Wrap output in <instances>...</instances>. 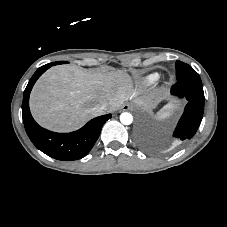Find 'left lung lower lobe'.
<instances>
[{
    "label": "left lung lower lobe",
    "instance_id": "obj_1",
    "mask_svg": "<svg viewBox=\"0 0 227 227\" xmlns=\"http://www.w3.org/2000/svg\"><path fill=\"white\" fill-rule=\"evenodd\" d=\"M171 93L188 101L173 136L180 142L191 139L196 133L203 116L204 94L202 83L177 81Z\"/></svg>",
    "mask_w": 227,
    "mask_h": 227
}]
</instances>
